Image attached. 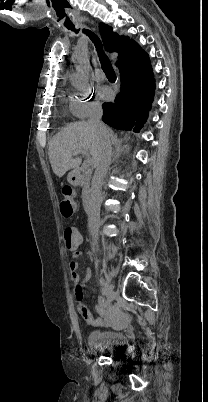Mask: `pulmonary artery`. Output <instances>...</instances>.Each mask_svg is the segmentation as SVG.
Wrapping results in <instances>:
<instances>
[{
	"label": "pulmonary artery",
	"instance_id": "e3ab8cb5",
	"mask_svg": "<svg viewBox=\"0 0 208 402\" xmlns=\"http://www.w3.org/2000/svg\"><path fill=\"white\" fill-rule=\"evenodd\" d=\"M80 54H81V53H79L78 56H79ZM95 73H96L97 76H104L105 73H106V70H105L104 67H97L96 70H95Z\"/></svg>",
	"mask_w": 208,
	"mask_h": 402
}]
</instances>
